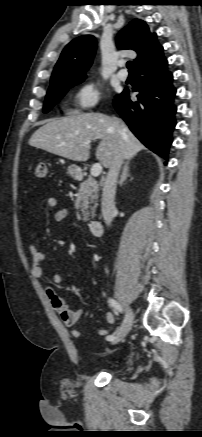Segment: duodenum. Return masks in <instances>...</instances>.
<instances>
[{
    "instance_id": "obj_1",
    "label": "duodenum",
    "mask_w": 202,
    "mask_h": 437,
    "mask_svg": "<svg viewBox=\"0 0 202 437\" xmlns=\"http://www.w3.org/2000/svg\"><path fill=\"white\" fill-rule=\"evenodd\" d=\"M79 177H82L81 174L78 175ZM89 226V231L93 236H100L102 234L103 231V226L101 221L99 220H91L88 224Z\"/></svg>"
}]
</instances>
